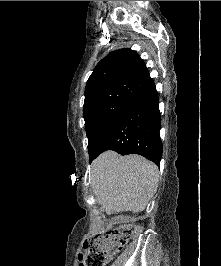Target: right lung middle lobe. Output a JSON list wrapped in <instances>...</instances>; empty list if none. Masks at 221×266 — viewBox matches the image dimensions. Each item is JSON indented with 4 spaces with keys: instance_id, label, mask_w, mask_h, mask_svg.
Listing matches in <instances>:
<instances>
[{
    "instance_id": "right-lung-middle-lobe-1",
    "label": "right lung middle lobe",
    "mask_w": 221,
    "mask_h": 266,
    "mask_svg": "<svg viewBox=\"0 0 221 266\" xmlns=\"http://www.w3.org/2000/svg\"><path fill=\"white\" fill-rule=\"evenodd\" d=\"M142 87L122 85L93 91L85 96L83 116L89 157Z\"/></svg>"
}]
</instances>
